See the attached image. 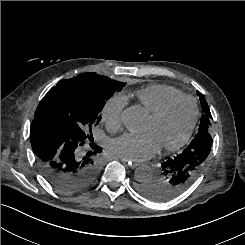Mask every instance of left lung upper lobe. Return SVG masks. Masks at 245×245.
Listing matches in <instances>:
<instances>
[{
  "label": "left lung upper lobe",
  "mask_w": 245,
  "mask_h": 245,
  "mask_svg": "<svg viewBox=\"0 0 245 245\" xmlns=\"http://www.w3.org/2000/svg\"><path fill=\"white\" fill-rule=\"evenodd\" d=\"M197 93H198L199 98H200L203 114L201 116L200 126H199V130H198V133L196 134V136L201 135V134H205V133H209L210 120L212 119L210 109L208 107V104L206 102L205 97L203 96V94H201L199 92H197Z\"/></svg>",
  "instance_id": "left-lung-upper-lobe-1"
}]
</instances>
